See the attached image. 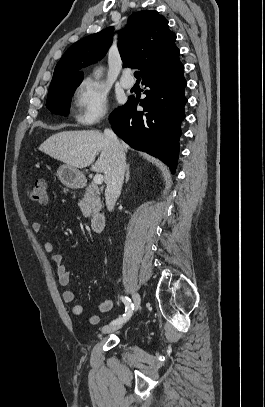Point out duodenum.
Masks as SVG:
<instances>
[{
	"mask_svg": "<svg viewBox=\"0 0 265 407\" xmlns=\"http://www.w3.org/2000/svg\"><path fill=\"white\" fill-rule=\"evenodd\" d=\"M106 223L105 216L100 212H95L91 216V228L95 233H101Z\"/></svg>",
	"mask_w": 265,
	"mask_h": 407,
	"instance_id": "obj_1",
	"label": "duodenum"
}]
</instances>
